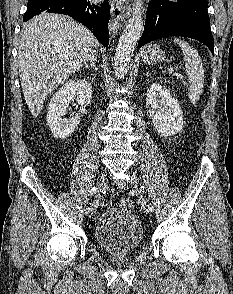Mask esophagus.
<instances>
[{
  "label": "esophagus",
  "mask_w": 233,
  "mask_h": 294,
  "mask_svg": "<svg viewBox=\"0 0 233 294\" xmlns=\"http://www.w3.org/2000/svg\"><path fill=\"white\" fill-rule=\"evenodd\" d=\"M125 7L120 6L115 0L111 3V15H112V24L110 25V30L113 33H117L120 24L125 20L127 16Z\"/></svg>",
  "instance_id": "obj_1"
}]
</instances>
